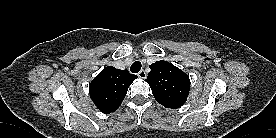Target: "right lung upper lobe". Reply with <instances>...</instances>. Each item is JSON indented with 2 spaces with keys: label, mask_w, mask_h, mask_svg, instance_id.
<instances>
[{
  "label": "right lung upper lobe",
  "mask_w": 276,
  "mask_h": 138,
  "mask_svg": "<svg viewBox=\"0 0 276 138\" xmlns=\"http://www.w3.org/2000/svg\"><path fill=\"white\" fill-rule=\"evenodd\" d=\"M137 78L127 70L113 66L104 68L90 83L89 94L102 113L116 111L126 96L128 87Z\"/></svg>",
  "instance_id": "1"
}]
</instances>
